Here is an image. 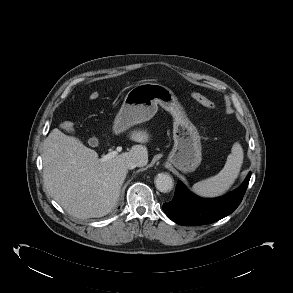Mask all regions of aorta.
<instances>
[{"mask_svg":"<svg viewBox=\"0 0 293 293\" xmlns=\"http://www.w3.org/2000/svg\"><path fill=\"white\" fill-rule=\"evenodd\" d=\"M173 179L167 173H160L155 178V186L162 193L170 192L173 188Z\"/></svg>","mask_w":293,"mask_h":293,"instance_id":"1","label":"aorta"}]
</instances>
